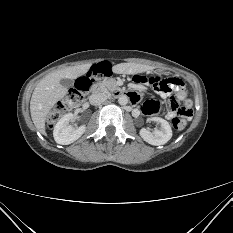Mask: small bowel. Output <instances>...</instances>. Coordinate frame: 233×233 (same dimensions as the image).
I'll return each instance as SVG.
<instances>
[{"label": "small bowel", "mask_w": 233, "mask_h": 233, "mask_svg": "<svg viewBox=\"0 0 233 233\" xmlns=\"http://www.w3.org/2000/svg\"><path fill=\"white\" fill-rule=\"evenodd\" d=\"M173 80H175L177 83L173 84L172 88L168 91H159L157 90L162 96H166L171 90L175 91V98L177 101H184V100H187V91H186V88L183 84V82L177 78H171ZM136 98L134 101H138L139 100V95L136 94V93H133ZM148 103L149 101L145 102L141 108V110H134V114L135 115H138L140 113V111L146 115H151L153 114V112L149 109L148 107ZM177 112L176 111H173V110H169L168 113H167V117L168 118H171L172 116L176 115Z\"/></svg>", "instance_id": "small-bowel-1"}]
</instances>
